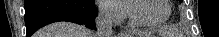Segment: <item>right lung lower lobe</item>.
Returning <instances> with one entry per match:
<instances>
[{
  "instance_id": "98d812e1",
  "label": "right lung lower lobe",
  "mask_w": 219,
  "mask_h": 37,
  "mask_svg": "<svg viewBox=\"0 0 219 37\" xmlns=\"http://www.w3.org/2000/svg\"><path fill=\"white\" fill-rule=\"evenodd\" d=\"M26 37L56 21L95 26L96 6L92 0H25Z\"/></svg>"
}]
</instances>
